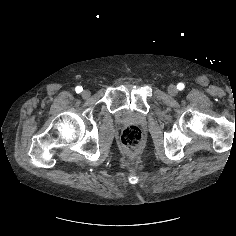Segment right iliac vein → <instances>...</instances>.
Segmentation results:
<instances>
[{
    "label": "right iliac vein",
    "instance_id": "obj_1",
    "mask_svg": "<svg viewBox=\"0 0 236 236\" xmlns=\"http://www.w3.org/2000/svg\"><path fill=\"white\" fill-rule=\"evenodd\" d=\"M90 95H91V92H90L89 90H84V91L82 92V97H83L84 99L90 97Z\"/></svg>",
    "mask_w": 236,
    "mask_h": 236
}]
</instances>
